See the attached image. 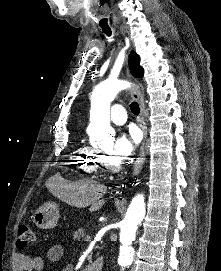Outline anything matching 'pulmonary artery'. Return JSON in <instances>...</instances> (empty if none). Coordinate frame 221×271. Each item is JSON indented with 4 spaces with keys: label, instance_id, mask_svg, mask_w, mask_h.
Returning a JSON list of instances; mask_svg holds the SVG:
<instances>
[{
    "label": "pulmonary artery",
    "instance_id": "pulmonary-artery-1",
    "mask_svg": "<svg viewBox=\"0 0 221 271\" xmlns=\"http://www.w3.org/2000/svg\"><path fill=\"white\" fill-rule=\"evenodd\" d=\"M108 117L110 122H115L116 126H122L123 122H128V117H126L125 107H110V112H108Z\"/></svg>",
    "mask_w": 221,
    "mask_h": 271
}]
</instances>
